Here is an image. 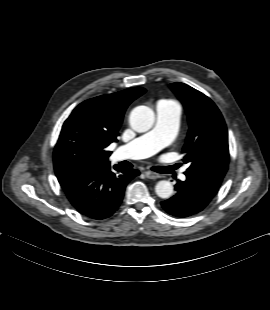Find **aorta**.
I'll return each mask as SVG.
<instances>
[{"instance_id":"762f6f07","label":"aorta","mask_w":270,"mask_h":310,"mask_svg":"<svg viewBox=\"0 0 270 310\" xmlns=\"http://www.w3.org/2000/svg\"><path fill=\"white\" fill-rule=\"evenodd\" d=\"M129 123L136 132H147L153 126L154 113L147 106H138L131 111ZM155 192L160 198L168 199L173 194V186L169 181L161 180L156 184Z\"/></svg>"}]
</instances>
